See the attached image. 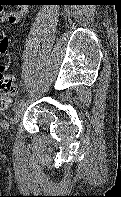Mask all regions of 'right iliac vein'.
Listing matches in <instances>:
<instances>
[{"label": "right iliac vein", "instance_id": "1", "mask_svg": "<svg viewBox=\"0 0 121 197\" xmlns=\"http://www.w3.org/2000/svg\"><path fill=\"white\" fill-rule=\"evenodd\" d=\"M23 111H24V104L21 105V107L16 111L15 115L12 117L11 119L12 126H15L19 122L20 118L23 115Z\"/></svg>", "mask_w": 121, "mask_h": 197}]
</instances>
